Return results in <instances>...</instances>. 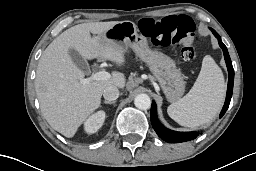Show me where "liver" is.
I'll use <instances>...</instances> for the list:
<instances>
[{"label": "liver", "mask_w": 256, "mask_h": 171, "mask_svg": "<svg viewBox=\"0 0 256 171\" xmlns=\"http://www.w3.org/2000/svg\"><path fill=\"white\" fill-rule=\"evenodd\" d=\"M118 21L75 25L57 36L43 52L36 71L35 89L44 118L67 138L99 108L108 86L124 88L125 75L113 72L108 80L81 83L83 72L72 61L69 50L75 49L84 59H106L117 66L125 64V51L102 34ZM97 35L91 37V34Z\"/></svg>", "instance_id": "obj_1"}]
</instances>
